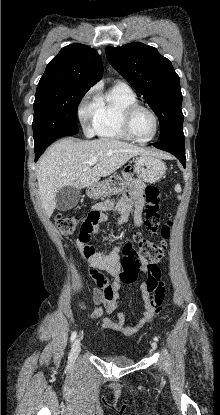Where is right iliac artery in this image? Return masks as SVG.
<instances>
[{
  "label": "right iliac artery",
  "mask_w": 220,
  "mask_h": 415,
  "mask_svg": "<svg viewBox=\"0 0 220 415\" xmlns=\"http://www.w3.org/2000/svg\"><path fill=\"white\" fill-rule=\"evenodd\" d=\"M76 336H77L76 331L72 332V334H71V341L72 342L75 340Z\"/></svg>",
  "instance_id": "right-iliac-artery-1"
}]
</instances>
